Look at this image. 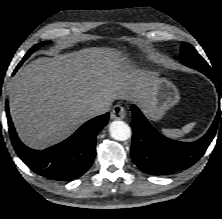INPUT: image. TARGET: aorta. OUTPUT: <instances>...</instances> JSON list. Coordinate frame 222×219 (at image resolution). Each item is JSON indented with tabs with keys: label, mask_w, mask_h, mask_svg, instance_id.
<instances>
[{
	"label": "aorta",
	"mask_w": 222,
	"mask_h": 219,
	"mask_svg": "<svg viewBox=\"0 0 222 219\" xmlns=\"http://www.w3.org/2000/svg\"><path fill=\"white\" fill-rule=\"evenodd\" d=\"M109 132L113 139L118 141H125L131 137V129L123 121H113L109 126Z\"/></svg>",
	"instance_id": "1"
}]
</instances>
